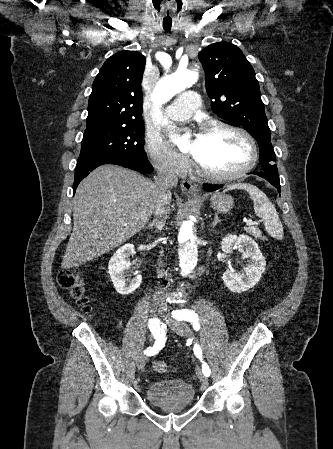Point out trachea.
<instances>
[{"label":"trachea","mask_w":333,"mask_h":449,"mask_svg":"<svg viewBox=\"0 0 333 449\" xmlns=\"http://www.w3.org/2000/svg\"><path fill=\"white\" fill-rule=\"evenodd\" d=\"M164 30L166 31V32H170V30H171V27H164Z\"/></svg>","instance_id":"obj_1"}]
</instances>
